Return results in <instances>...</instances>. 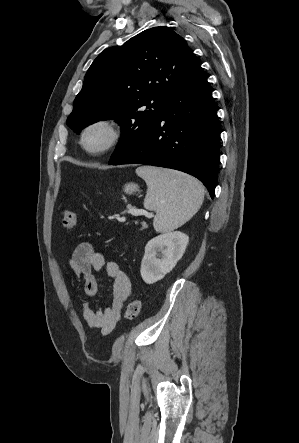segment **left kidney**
Here are the masks:
<instances>
[{
	"instance_id": "obj_1",
	"label": "left kidney",
	"mask_w": 299,
	"mask_h": 443,
	"mask_svg": "<svg viewBox=\"0 0 299 443\" xmlns=\"http://www.w3.org/2000/svg\"><path fill=\"white\" fill-rule=\"evenodd\" d=\"M188 242L189 237L180 231L167 232L148 241L140 270L144 282L153 284L169 273L182 258Z\"/></svg>"
}]
</instances>
